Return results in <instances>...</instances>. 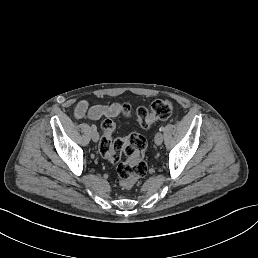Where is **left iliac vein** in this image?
Masks as SVG:
<instances>
[{"instance_id":"left-iliac-vein-1","label":"left iliac vein","mask_w":258,"mask_h":258,"mask_svg":"<svg viewBox=\"0 0 258 258\" xmlns=\"http://www.w3.org/2000/svg\"><path fill=\"white\" fill-rule=\"evenodd\" d=\"M154 137H155L154 140L156 142V146H161V142L163 140L162 131H157Z\"/></svg>"}]
</instances>
